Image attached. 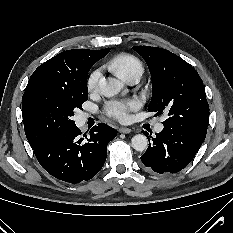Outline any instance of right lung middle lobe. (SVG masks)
I'll use <instances>...</instances> for the list:
<instances>
[{
    "mask_svg": "<svg viewBox=\"0 0 233 233\" xmlns=\"http://www.w3.org/2000/svg\"><path fill=\"white\" fill-rule=\"evenodd\" d=\"M88 99L87 74L72 88L41 87L22 101L23 124L30 144L35 140L28 136L53 135L75 126L74 111L82 109Z\"/></svg>",
    "mask_w": 233,
    "mask_h": 233,
    "instance_id": "obj_1",
    "label": "right lung middle lobe"
}]
</instances>
